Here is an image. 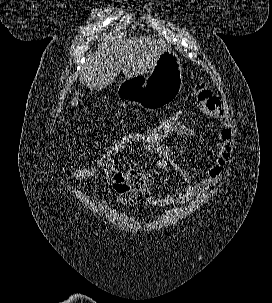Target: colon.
I'll list each match as a JSON object with an SVG mask.
<instances>
[{"label":"colon","instance_id":"obj_1","mask_svg":"<svg viewBox=\"0 0 272 303\" xmlns=\"http://www.w3.org/2000/svg\"><path fill=\"white\" fill-rule=\"evenodd\" d=\"M189 125L180 110H175L164 115L151 127L138 131L127 132L117 136L102 151L95 160L71 167L68 176L75 181L91 179L99 174L114 172L117 168L115 157L131 149H140L164 144L169 138L176 136ZM151 177L146 175L140 188L117 199L129 205L145 201L149 195L148 185Z\"/></svg>","mask_w":272,"mask_h":303}]
</instances>
